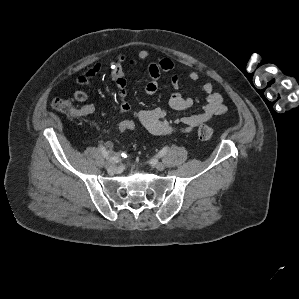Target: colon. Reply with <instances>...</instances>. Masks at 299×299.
Listing matches in <instances>:
<instances>
[{"instance_id": "obj_1", "label": "colon", "mask_w": 299, "mask_h": 299, "mask_svg": "<svg viewBox=\"0 0 299 299\" xmlns=\"http://www.w3.org/2000/svg\"><path fill=\"white\" fill-rule=\"evenodd\" d=\"M52 107L70 119L76 118L82 114L81 109L77 108L70 100L67 99H54ZM136 128L137 122L134 119H126L118 124V130L121 133L132 132L136 130ZM214 134V129L208 125H201L197 130V137L200 140H210L213 138Z\"/></svg>"}]
</instances>
